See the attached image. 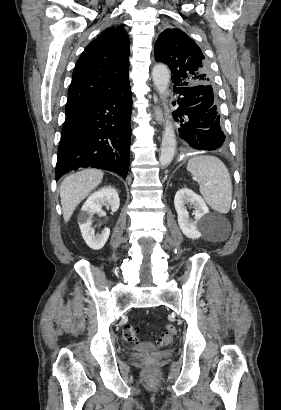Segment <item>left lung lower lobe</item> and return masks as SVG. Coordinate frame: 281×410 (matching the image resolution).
Wrapping results in <instances>:
<instances>
[{
  "label": "left lung lower lobe",
  "instance_id": "obj_1",
  "mask_svg": "<svg viewBox=\"0 0 281 410\" xmlns=\"http://www.w3.org/2000/svg\"><path fill=\"white\" fill-rule=\"evenodd\" d=\"M179 94L174 118L179 121V135L190 147L198 150H216L225 143L220 126V115L211 85L174 87Z\"/></svg>",
  "mask_w": 281,
  "mask_h": 410
}]
</instances>
